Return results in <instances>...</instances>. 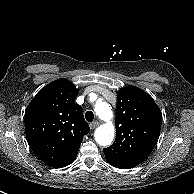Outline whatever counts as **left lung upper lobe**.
<instances>
[{
	"instance_id": "5c2ea615",
	"label": "left lung upper lobe",
	"mask_w": 194,
	"mask_h": 194,
	"mask_svg": "<svg viewBox=\"0 0 194 194\" xmlns=\"http://www.w3.org/2000/svg\"><path fill=\"white\" fill-rule=\"evenodd\" d=\"M115 122V142L103 150L106 159L123 167H135L154 149L162 113L148 93L128 86L117 93Z\"/></svg>"
}]
</instances>
